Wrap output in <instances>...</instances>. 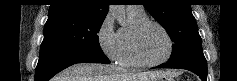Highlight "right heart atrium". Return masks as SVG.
<instances>
[{
	"instance_id": "1",
	"label": "right heart atrium",
	"mask_w": 237,
	"mask_h": 81,
	"mask_svg": "<svg viewBox=\"0 0 237 81\" xmlns=\"http://www.w3.org/2000/svg\"><path fill=\"white\" fill-rule=\"evenodd\" d=\"M97 41L106 57L111 61H118L120 54L119 33L115 30L113 20L109 14L104 17L98 28Z\"/></svg>"
}]
</instances>
